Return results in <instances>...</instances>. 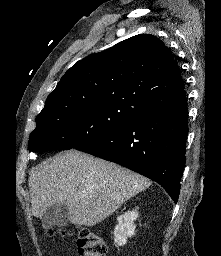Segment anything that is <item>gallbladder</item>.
Returning <instances> with one entry per match:
<instances>
[{
  "label": "gallbladder",
  "mask_w": 221,
  "mask_h": 256,
  "mask_svg": "<svg viewBox=\"0 0 221 256\" xmlns=\"http://www.w3.org/2000/svg\"><path fill=\"white\" fill-rule=\"evenodd\" d=\"M41 222L44 228L53 226L62 227L68 223V207L65 204H54L42 215Z\"/></svg>",
  "instance_id": "gallbladder-1"
}]
</instances>
